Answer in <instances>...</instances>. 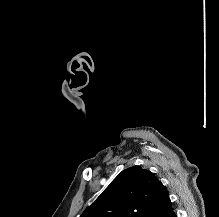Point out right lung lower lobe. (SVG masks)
<instances>
[{
  "label": "right lung lower lobe",
  "instance_id": "right-lung-lower-lobe-1",
  "mask_svg": "<svg viewBox=\"0 0 219 217\" xmlns=\"http://www.w3.org/2000/svg\"><path fill=\"white\" fill-rule=\"evenodd\" d=\"M165 217H177L173 209L171 208Z\"/></svg>",
  "mask_w": 219,
  "mask_h": 217
}]
</instances>
